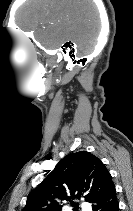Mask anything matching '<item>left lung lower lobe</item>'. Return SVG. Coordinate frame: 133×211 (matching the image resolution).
Listing matches in <instances>:
<instances>
[{
  "label": "left lung lower lobe",
  "mask_w": 133,
  "mask_h": 211,
  "mask_svg": "<svg viewBox=\"0 0 133 211\" xmlns=\"http://www.w3.org/2000/svg\"><path fill=\"white\" fill-rule=\"evenodd\" d=\"M93 211H119L115 187L112 186L102 197L92 204Z\"/></svg>",
  "instance_id": "obj_1"
}]
</instances>
